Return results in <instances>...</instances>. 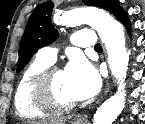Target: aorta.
Instances as JSON below:
<instances>
[{
    "mask_svg": "<svg viewBox=\"0 0 145 124\" xmlns=\"http://www.w3.org/2000/svg\"><path fill=\"white\" fill-rule=\"evenodd\" d=\"M63 23L68 26L90 24L105 45L112 75L118 81L117 92L107 99L96 111L93 124H112L125 107V77L128 69V54L125 47L123 26L101 9L84 8L67 12Z\"/></svg>",
    "mask_w": 145,
    "mask_h": 124,
    "instance_id": "obj_1",
    "label": "aorta"
}]
</instances>
